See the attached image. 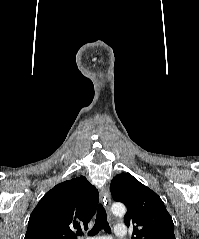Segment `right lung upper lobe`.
<instances>
[{"mask_svg":"<svg viewBox=\"0 0 199 239\" xmlns=\"http://www.w3.org/2000/svg\"><path fill=\"white\" fill-rule=\"evenodd\" d=\"M99 201L98 190L84 176L56 185L30 215L24 239H77L87 229Z\"/></svg>","mask_w":199,"mask_h":239,"instance_id":"obj_1","label":"right lung upper lobe"}]
</instances>
